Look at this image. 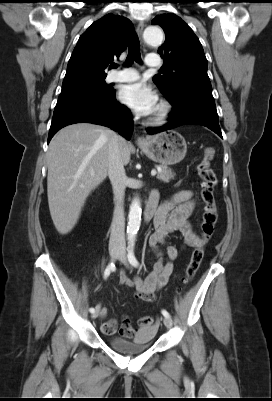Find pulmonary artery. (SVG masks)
Returning <instances> with one entry per match:
<instances>
[{
    "label": "pulmonary artery",
    "instance_id": "pulmonary-artery-1",
    "mask_svg": "<svg viewBox=\"0 0 272 401\" xmlns=\"http://www.w3.org/2000/svg\"><path fill=\"white\" fill-rule=\"evenodd\" d=\"M146 64L149 67H160L161 61L159 56L157 55H149L146 58ZM139 78V74L137 71L126 68L123 66H118L116 71L111 72L107 76V82L109 83H117V82H132Z\"/></svg>",
    "mask_w": 272,
    "mask_h": 401
}]
</instances>
